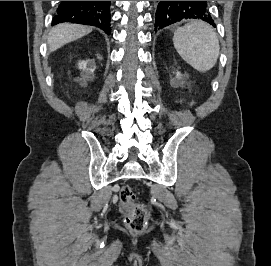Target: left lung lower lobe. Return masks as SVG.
I'll use <instances>...</instances> for the list:
<instances>
[{"mask_svg": "<svg viewBox=\"0 0 271 266\" xmlns=\"http://www.w3.org/2000/svg\"><path fill=\"white\" fill-rule=\"evenodd\" d=\"M183 19L202 20L215 27L207 1H161L156 11L155 30Z\"/></svg>", "mask_w": 271, "mask_h": 266, "instance_id": "left-lung-lower-lobe-1", "label": "left lung lower lobe"}]
</instances>
